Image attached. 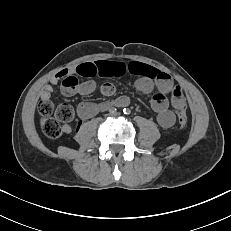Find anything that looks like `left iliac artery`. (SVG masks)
I'll list each match as a JSON object with an SVG mask.
<instances>
[{
    "instance_id": "1",
    "label": "left iliac artery",
    "mask_w": 231,
    "mask_h": 231,
    "mask_svg": "<svg viewBox=\"0 0 231 231\" xmlns=\"http://www.w3.org/2000/svg\"><path fill=\"white\" fill-rule=\"evenodd\" d=\"M124 114L129 115L131 113V110L129 108L123 109Z\"/></svg>"
}]
</instances>
